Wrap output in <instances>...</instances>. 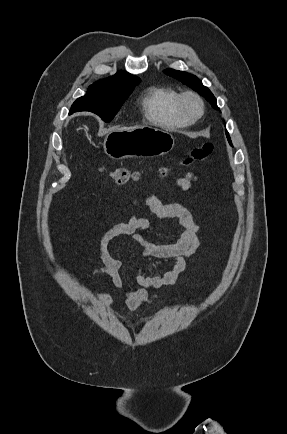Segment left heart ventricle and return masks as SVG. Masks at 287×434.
Segmentation results:
<instances>
[{
	"label": "left heart ventricle",
	"mask_w": 287,
	"mask_h": 434,
	"mask_svg": "<svg viewBox=\"0 0 287 434\" xmlns=\"http://www.w3.org/2000/svg\"><path fill=\"white\" fill-rule=\"evenodd\" d=\"M189 108H190V110L195 111L196 110V105L193 104V103H190L189 104Z\"/></svg>",
	"instance_id": "1"
}]
</instances>
